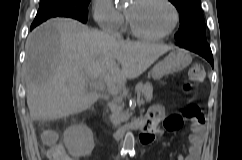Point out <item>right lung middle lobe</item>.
Wrapping results in <instances>:
<instances>
[{
  "instance_id": "right-lung-middle-lobe-1",
  "label": "right lung middle lobe",
  "mask_w": 242,
  "mask_h": 160,
  "mask_svg": "<svg viewBox=\"0 0 242 160\" xmlns=\"http://www.w3.org/2000/svg\"><path fill=\"white\" fill-rule=\"evenodd\" d=\"M90 1L91 0H40L39 10L31 27H35L53 17H70L86 23Z\"/></svg>"
}]
</instances>
